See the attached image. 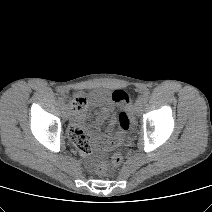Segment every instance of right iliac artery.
<instances>
[{"label": "right iliac artery", "instance_id": "1", "mask_svg": "<svg viewBox=\"0 0 212 212\" xmlns=\"http://www.w3.org/2000/svg\"><path fill=\"white\" fill-rule=\"evenodd\" d=\"M58 103H59L60 105H63V104H64V98L62 97V95H59V96H58Z\"/></svg>", "mask_w": 212, "mask_h": 212}]
</instances>
